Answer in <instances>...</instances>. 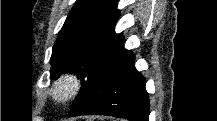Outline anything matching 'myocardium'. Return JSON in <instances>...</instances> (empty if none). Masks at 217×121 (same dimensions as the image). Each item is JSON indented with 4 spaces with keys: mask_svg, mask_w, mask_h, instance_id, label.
Here are the masks:
<instances>
[{
    "mask_svg": "<svg viewBox=\"0 0 217 121\" xmlns=\"http://www.w3.org/2000/svg\"><path fill=\"white\" fill-rule=\"evenodd\" d=\"M81 87L82 81L76 74H65L54 82L51 98L57 104H65L79 93Z\"/></svg>",
    "mask_w": 217,
    "mask_h": 121,
    "instance_id": "1",
    "label": "myocardium"
}]
</instances>
